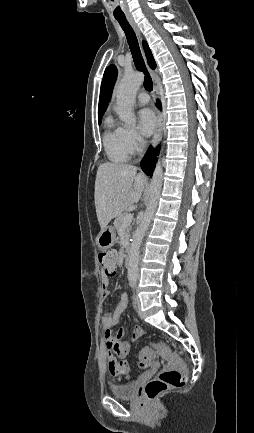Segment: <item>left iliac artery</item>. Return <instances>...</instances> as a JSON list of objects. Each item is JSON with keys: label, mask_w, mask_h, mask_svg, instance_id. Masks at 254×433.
Segmentation results:
<instances>
[{"label": "left iliac artery", "mask_w": 254, "mask_h": 433, "mask_svg": "<svg viewBox=\"0 0 254 433\" xmlns=\"http://www.w3.org/2000/svg\"><path fill=\"white\" fill-rule=\"evenodd\" d=\"M132 286L134 287V286H135V283H133Z\"/></svg>", "instance_id": "left-iliac-artery-1"}]
</instances>
